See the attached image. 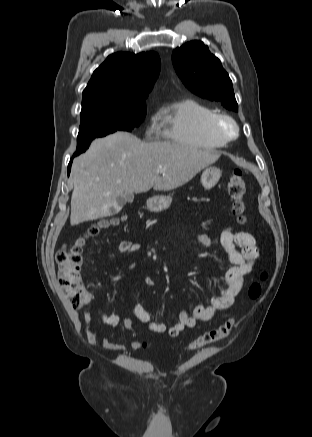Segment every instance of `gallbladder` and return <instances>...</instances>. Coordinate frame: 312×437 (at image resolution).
I'll list each match as a JSON object with an SVG mask.
<instances>
[{
  "mask_svg": "<svg viewBox=\"0 0 312 437\" xmlns=\"http://www.w3.org/2000/svg\"><path fill=\"white\" fill-rule=\"evenodd\" d=\"M134 199L132 194H126L125 198H119L117 200V204L110 208L109 216H113L119 213L121 208L125 205L126 202L131 203Z\"/></svg>",
  "mask_w": 312,
  "mask_h": 437,
  "instance_id": "gallbladder-1",
  "label": "gallbladder"
}]
</instances>
